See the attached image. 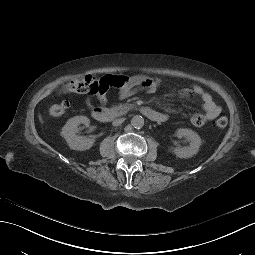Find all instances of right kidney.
I'll return each instance as SVG.
<instances>
[{"instance_id":"1","label":"right kidney","mask_w":255,"mask_h":255,"mask_svg":"<svg viewBox=\"0 0 255 255\" xmlns=\"http://www.w3.org/2000/svg\"><path fill=\"white\" fill-rule=\"evenodd\" d=\"M79 124L89 126L90 120L86 116H75L69 119L62 128L61 135L73 150L83 151L90 149L94 143V139L76 135Z\"/></svg>"}]
</instances>
